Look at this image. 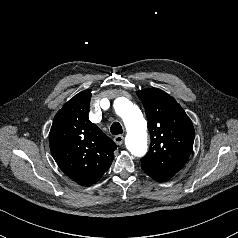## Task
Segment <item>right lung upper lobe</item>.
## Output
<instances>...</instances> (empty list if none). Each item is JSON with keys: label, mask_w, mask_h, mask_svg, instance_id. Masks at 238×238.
<instances>
[{"label": "right lung upper lobe", "mask_w": 238, "mask_h": 238, "mask_svg": "<svg viewBox=\"0 0 238 238\" xmlns=\"http://www.w3.org/2000/svg\"><path fill=\"white\" fill-rule=\"evenodd\" d=\"M92 90H84L57 112L49 146L60 169L73 181L90 186L110 167L116 144L88 118Z\"/></svg>", "instance_id": "obj_1"}]
</instances>
